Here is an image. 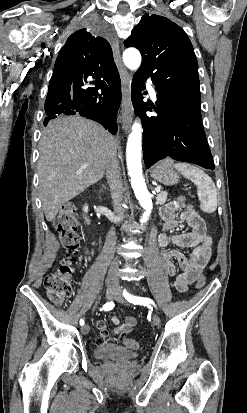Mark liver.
Returning <instances> with one entry per match:
<instances>
[{
	"mask_svg": "<svg viewBox=\"0 0 247 413\" xmlns=\"http://www.w3.org/2000/svg\"><path fill=\"white\" fill-rule=\"evenodd\" d=\"M114 136L79 114L59 116L42 130L38 160L39 196L47 221L62 204L105 174Z\"/></svg>",
	"mask_w": 247,
	"mask_h": 413,
	"instance_id": "6515ba94",
	"label": "liver"
}]
</instances>
